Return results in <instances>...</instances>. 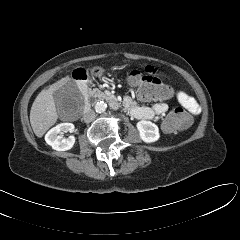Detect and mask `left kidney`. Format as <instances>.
I'll return each instance as SVG.
<instances>
[{
  "instance_id": "obj_1",
  "label": "left kidney",
  "mask_w": 240,
  "mask_h": 240,
  "mask_svg": "<svg viewBox=\"0 0 240 240\" xmlns=\"http://www.w3.org/2000/svg\"><path fill=\"white\" fill-rule=\"evenodd\" d=\"M140 138L146 143L156 142L159 137V128L151 121L141 120L136 124Z\"/></svg>"
}]
</instances>
